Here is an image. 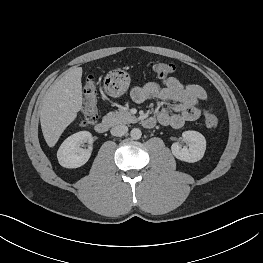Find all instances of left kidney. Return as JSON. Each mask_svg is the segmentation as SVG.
Returning <instances> with one entry per match:
<instances>
[{"mask_svg":"<svg viewBox=\"0 0 263 263\" xmlns=\"http://www.w3.org/2000/svg\"><path fill=\"white\" fill-rule=\"evenodd\" d=\"M184 140L188 141V147H181L178 143H173L171 150L173 155L185 162L194 163L201 160L206 150L205 137L197 131H184L182 133Z\"/></svg>","mask_w":263,"mask_h":263,"instance_id":"obj_1","label":"left kidney"}]
</instances>
